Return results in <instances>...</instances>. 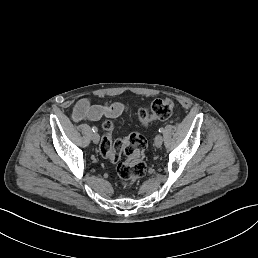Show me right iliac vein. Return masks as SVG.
I'll list each match as a JSON object with an SVG mask.
<instances>
[{"label":"right iliac vein","instance_id":"obj_1","mask_svg":"<svg viewBox=\"0 0 258 258\" xmlns=\"http://www.w3.org/2000/svg\"><path fill=\"white\" fill-rule=\"evenodd\" d=\"M91 137H92V140H93L95 143H98V142H99V137H100V135L98 134L97 131H92V132H91Z\"/></svg>","mask_w":258,"mask_h":258}]
</instances>
